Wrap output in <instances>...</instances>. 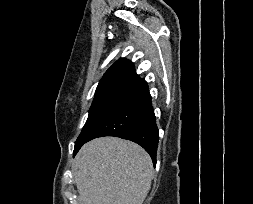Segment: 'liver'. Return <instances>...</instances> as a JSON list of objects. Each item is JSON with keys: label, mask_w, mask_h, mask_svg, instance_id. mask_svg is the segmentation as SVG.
Wrapping results in <instances>:
<instances>
[{"label": "liver", "mask_w": 253, "mask_h": 204, "mask_svg": "<svg viewBox=\"0 0 253 204\" xmlns=\"http://www.w3.org/2000/svg\"><path fill=\"white\" fill-rule=\"evenodd\" d=\"M79 204H142L153 178L149 154L117 137L82 146L72 164Z\"/></svg>", "instance_id": "obj_1"}]
</instances>
